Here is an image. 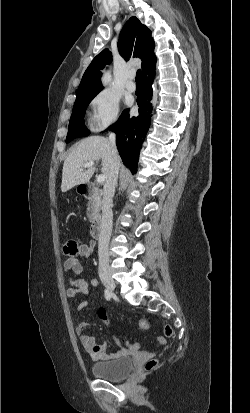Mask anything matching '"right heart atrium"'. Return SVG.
Segmentation results:
<instances>
[{
  "mask_svg": "<svg viewBox=\"0 0 250 413\" xmlns=\"http://www.w3.org/2000/svg\"><path fill=\"white\" fill-rule=\"evenodd\" d=\"M89 126L95 132L113 125L119 118V98L109 90L98 92L90 101Z\"/></svg>",
  "mask_w": 250,
  "mask_h": 413,
  "instance_id": "obj_1",
  "label": "right heart atrium"
}]
</instances>
